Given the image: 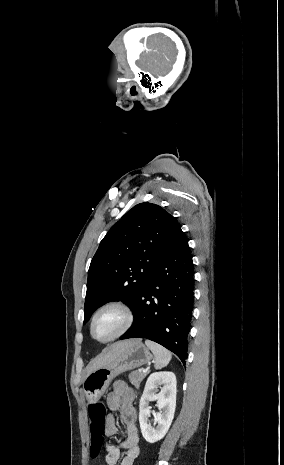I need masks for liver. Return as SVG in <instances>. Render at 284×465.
Here are the masks:
<instances>
[{
	"instance_id": "6515ba94",
	"label": "liver",
	"mask_w": 284,
	"mask_h": 465,
	"mask_svg": "<svg viewBox=\"0 0 284 465\" xmlns=\"http://www.w3.org/2000/svg\"><path fill=\"white\" fill-rule=\"evenodd\" d=\"M128 343H134V341H118V343H114L106 355H101V357H98V359H94V361H92L91 365H89L87 369V375L92 373V371H96V369L105 367V365H108V363H111V361H114V359L118 357L119 353H123V351L127 349Z\"/></svg>"
}]
</instances>
